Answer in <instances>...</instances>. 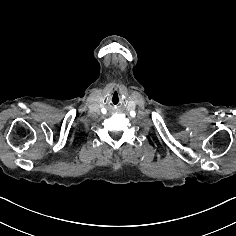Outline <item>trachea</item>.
Returning a JSON list of instances; mask_svg holds the SVG:
<instances>
[{
    "label": "trachea",
    "instance_id": "1",
    "mask_svg": "<svg viewBox=\"0 0 236 236\" xmlns=\"http://www.w3.org/2000/svg\"><path fill=\"white\" fill-rule=\"evenodd\" d=\"M121 93L119 91H114L109 97V102L112 105H117L120 102Z\"/></svg>",
    "mask_w": 236,
    "mask_h": 236
}]
</instances>
